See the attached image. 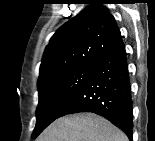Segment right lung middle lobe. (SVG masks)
Instances as JSON below:
<instances>
[{"label": "right lung middle lobe", "instance_id": "right-lung-middle-lobe-1", "mask_svg": "<svg viewBox=\"0 0 155 141\" xmlns=\"http://www.w3.org/2000/svg\"><path fill=\"white\" fill-rule=\"evenodd\" d=\"M93 70L94 68L71 69L55 74L38 84L39 103L32 138H36L59 118L62 110L83 87Z\"/></svg>", "mask_w": 155, "mask_h": 141}]
</instances>
